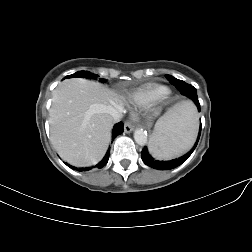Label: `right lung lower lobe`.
I'll return each instance as SVG.
<instances>
[{"instance_id":"obj_1","label":"right lung lower lobe","mask_w":252,"mask_h":252,"mask_svg":"<svg viewBox=\"0 0 252 252\" xmlns=\"http://www.w3.org/2000/svg\"><path fill=\"white\" fill-rule=\"evenodd\" d=\"M123 123L122 122H119L117 123L114 127H113V130H112V141L118 136L120 135L124 129H123ZM109 153H110V150L107 151L105 157L103 158V160L101 162H99L95 167H98V168H102L104 167L107 162H108V159H109ZM66 165H68L67 163H65ZM70 168L72 169H75L77 171H88L89 169L91 168H76V167H73V166H70L68 165Z\"/></svg>"}]
</instances>
